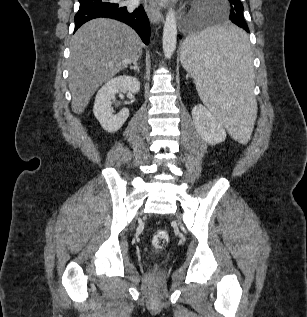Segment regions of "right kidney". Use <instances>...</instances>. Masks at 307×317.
Here are the masks:
<instances>
[{
    "mask_svg": "<svg viewBox=\"0 0 307 317\" xmlns=\"http://www.w3.org/2000/svg\"><path fill=\"white\" fill-rule=\"evenodd\" d=\"M140 91L138 79L123 75L109 80L97 92L93 113L101 126L107 132L113 133L119 130L129 116V110L123 108L118 114H113L112 100L117 93H133Z\"/></svg>",
    "mask_w": 307,
    "mask_h": 317,
    "instance_id": "ca27d5eb",
    "label": "right kidney"
}]
</instances>
